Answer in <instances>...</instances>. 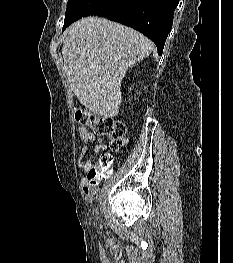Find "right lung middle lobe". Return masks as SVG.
Segmentation results:
<instances>
[{
	"label": "right lung middle lobe",
	"mask_w": 233,
	"mask_h": 263,
	"mask_svg": "<svg viewBox=\"0 0 233 263\" xmlns=\"http://www.w3.org/2000/svg\"><path fill=\"white\" fill-rule=\"evenodd\" d=\"M122 0H69L63 31L76 20L90 15L104 16L112 13Z\"/></svg>",
	"instance_id": "obj_1"
}]
</instances>
